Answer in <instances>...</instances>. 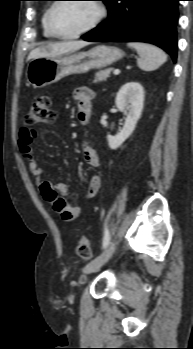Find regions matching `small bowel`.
<instances>
[{
	"instance_id": "obj_1",
	"label": "small bowel",
	"mask_w": 193,
	"mask_h": 349,
	"mask_svg": "<svg viewBox=\"0 0 193 349\" xmlns=\"http://www.w3.org/2000/svg\"><path fill=\"white\" fill-rule=\"evenodd\" d=\"M94 97V91L88 87H80L73 92V98L77 102L78 117L83 124H86L90 118ZM35 137V132L28 125L24 124L18 134L19 150L27 161L30 173L37 179L44 199L51 204L63 221H73L80 216L82 208L78 204L69 201V191L65 184H53L42 179L43 170L38 164L32 149ZM83 158L86 164L92 168H97L100 165L96 150L87 142L83 145ZM100 188L101 177L97 174L92 175L85 189L84 197L86 199L95 197Z\"/></svg>"
}]
</instances>
